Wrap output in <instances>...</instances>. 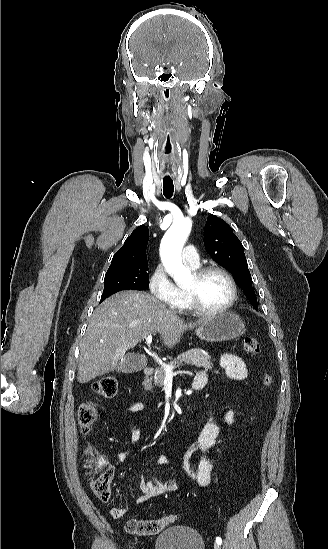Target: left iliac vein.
Listing matches in <instances>:
<instances>
[{
    "label": "left iliac vein",
    "mask_w": 328,
    "mask_h": 549,
    "mask_svg": "<svg viewBox=\"0 0 328 549\" xmlns=\"http://www.w3.org/2000/svg\"><path fill=\"white\" fill-rule=\"evenodd\" d=\"M214 549H221V547H220L219 544L215 543V544H214Z\"/></svg>",
    "instance_id": "obj_1"
}]
</instances>
